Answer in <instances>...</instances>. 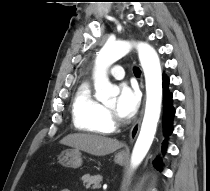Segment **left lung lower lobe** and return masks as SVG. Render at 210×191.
<instances>
[{"instance_id": "1", "label": "left lung lower lobe", "mask_w": 210, "mask_h": 191, "mask_svg": "<svg viewBox=\"0 0 210 191\" xmlns=\"http://www.w3.org/2000/svg\"><path fill=\"white\" fill-rule=\"evenodd\" d=\"M172 93L169 91V78L163 76V103H164V115H163V130L164 135L169 136L173 131V118L175 116V109L172 105ZM167 139L162 143V151L165 152ZM155 168L161 170V164L155 163Z\"/></svg>"}]
</instances>
